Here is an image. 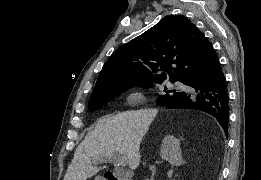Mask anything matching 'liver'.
<instances>
[{
	"instance_id": "6515ba94",
	"label": "liver",
	"mask_w": 261,
	"mask_h": 180,
	"mask_svg": "<svg viewBox=\"0 0 261 180\" xmlns=\"http://www.w3.org/2000/svg\"><path fill=\"white\" fill-rule=\"evenodd\" d=\"M157 110H130L98 120L93 132H88L79 144L72 164L68 168V180H87L99 172L102 158H112L115 152L128 158V166L136 170L140 164V144L149 130Z\"/></svg>"
}]
</instances>
